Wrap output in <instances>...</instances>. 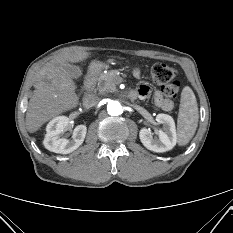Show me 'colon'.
Returning a JSON list of instances; mask_svg holds the SVG:
<instances>
[{
	"mask_svg": "<svg viewBox=\"0 0 233 233\" xmlns=\"http://www.w3.org/2000/svg\"><path fill=\"white\" fill-rule=\"evenodd\" d=\"M153 81L162 86L163 94L168 98H176L180 91V83L175 79L176 70L164 63H155L151 68Z\"/></svg>",
	"mask_w": 233,
	"mask_h": 233,
	"instance_id": "colon-1",
	"label": "colon"
}]
</instances>
